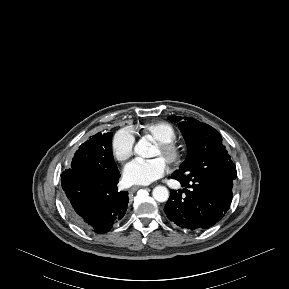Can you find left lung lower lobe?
Segmentation results:
<instances>
[{
    "label": "left lung lower lobe",
    "mask_w": 289,
    "mask_h": 289,
    "mask_svg": "<svg viewBox=\"0 0 289 289\" xmlns=\"http://www.w3.org/2000/svg\"><path fill=\"white\" fill-rule=\"evenodd\" d=\"M172 178L191 188L171 191L164 211L172 224L188 230L208 229L224 217L232 201V188L207 179L186 182L174 174Z\"/></svg>",
    "instance_id": "left-lung-lower-lobe-1"
}]
</instances>
